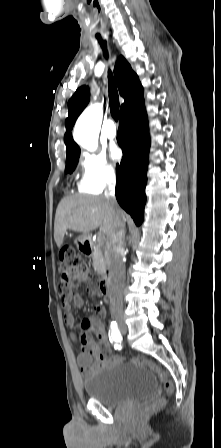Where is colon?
I'll list each match as a JSON object with an SVG mask.
<instances>
[{
	"label": "colon",
	"instance_id": "obj_1",
	"mask_svg": "<svg viewBox=\"0 0 221 448\" xmlns=\"http://www.w3.org/2000/svg\"><path fill=\"white\" fill-rule=\"evenodd\" d=\"M82 272L80 268V260L71 246L64 247L59 255V288L61 291H66L73 283L81 279ZM131 363L139 366H147L152 372L156 373L163 383L164 388L170 391L171 383L168 381L165 372L154 362L144 358H134ZM163 400L154 401L145 406L141 412L140 417L145 419L154 413L161 405Z\"/></svg>",
	"mask_w": 221,
	"mask_h": 448
}]
</instances>
